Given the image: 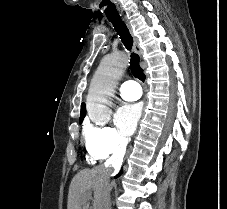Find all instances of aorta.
Listing matches in <instances>:
<instances>
[{
	"mask_svg": "<svg viewBox=\"0 0 227 209\" xmlns=\"http://www.w3.org/2000/svg\"><path fill=\"white\" fill-rule=\"evenodd\" d=\"M128 65L124 52L107 55L101 61L90 84L87 97V112L91 120L99 121L110 113L108 104L114 92L116 81Z\"/></svg>",
	"mask_w": 227,
	"mask_h": 209,
	"instance_id": "aorta-1",
	"label": "aorta"
}]
</instances>
